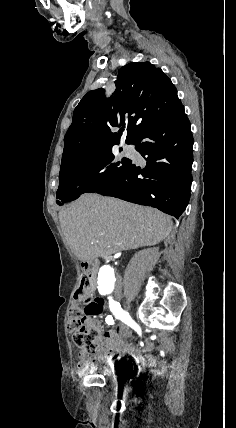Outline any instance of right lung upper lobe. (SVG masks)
<instances>
[{"label":"right lung upper lobe","instance_id":"1","mask_svg":"<svg viewBox=\"0 0 236 428\" xmlns=\"http://www.w3.org/2000/svg\"><path fill=\"white\" fill-rule=\"evenodd\" d=\"M114 96L104 89L89 91L75 108L64 137L61 170L74 162L120 142L127 125L126 141L146 126L159 121L182 103L171 80L150 62H133L119 70ZM115 127H121L114 132Z\"/></svg>","mask_w":236,"mask_h":428}]
</instances>
